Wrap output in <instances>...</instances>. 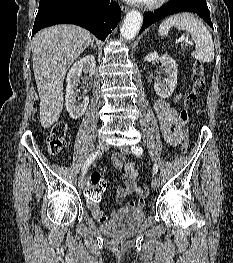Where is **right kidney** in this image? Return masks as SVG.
Returning <instances> with one entry per match:
<instances>
[{"label":"right kidney","instance_id":"1","mask_svg":"<svg viewBox=\"0 0 233 263\" xmlns=\"http://www.w3.org/2000/svg\"><path fill=\"white\" fill-rule=\"evenodd\" d=\"M95 68V57L93 55H87L79 61H76L68 72L65 106L70 117L73 119L80 118L85 113L89 103V97L80 96L77 90L82 71L93 75L95 74Z\"/></svg>","mask_w":233,"mask_h":263}]
</instances>
